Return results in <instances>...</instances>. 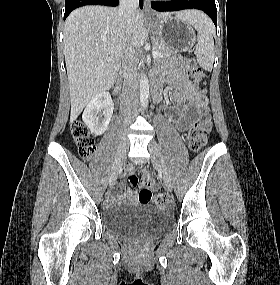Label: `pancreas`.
Returning a JSON list of instances; mask_svg holds the SVG:
<instances>
[{"instance_id":"cf45deb5","label":"pancreas","mask_w":280,"mask_h":285,"mask_svg":"<svg viewBox=\"0 0 280 285\" xmlns=\"http://www.w3.org/2000/svg\"><path fill=\"white\" fill-rule=\"evenodd\" d=\"M153 49L156 50L159 53L158 58H165L169 57L172 54L176 53V50L167 46L163 42H161L159 39H155L153 41Z\"/></svg>"}]
</instances>
